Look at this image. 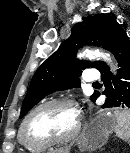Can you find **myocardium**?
<instances>
[{
	"instance_id": "1",
	"label": "myocardium",
	"mask_w": 130,
	"mask_h": 153,
	"mask_svg": "<svg viewBox=\"0 0 130 153\" xmlns=\"http://www.w3.org/2000/svg\"><path fill=\"white\" fill-rule=\"evenodd\" d=\"M50 105H66V106L72 107L77 113V122H76L74 129L72 130V132L69 135L62 137V138L44 139V140H31V139H29L25 133V128H26V125H27L29 119L38 110H40L46 106H50ZM81 126H82V115H81V111H80L77 103L70 98H53V99H49V100H46V101L38 104L32 110L29 111V113L25 116V118L23 119V121L20 125L19 136H20V139L23 142V144L28 147L46 148V147L55 146V145H63V144H67V143L71 142L72 140H74L78 136V134L81 130Z\"/></svg>"
}]
</instances>
